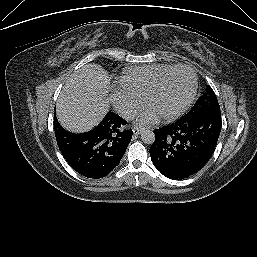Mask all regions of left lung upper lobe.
<instances>
[{
  "instance_id": "1",
  "label": "left lung upper lobe",
  "mask_w": 257,
  "mask_h": 257,
  "mask_svg": "<svg viewBox=\"0 0 257 257\" xmlns=\"http://www.w3.org/2000/svg\"><path fill=\"white\" fill-rule=\"evenodd\" d=\"M207 113H221L217 97L209 86L185 116L195 117Z\"/></svg>"
}]
</instances>
